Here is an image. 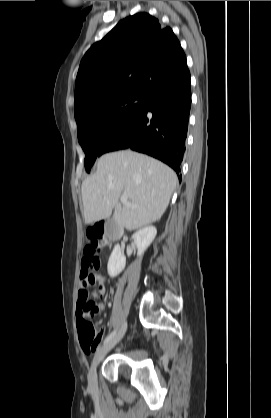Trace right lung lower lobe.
<instances>
[{"mask_svg":"<svg viewBox=\"0 0 271 418\" xmlns=\"http://www.w3.org/2000/svg\"><path fill=\"white\" fill-rule=\"evenodd\" d=\"M190 108V72L185 63L135 114L106 137L98 156L130 148L160 159L178 174L185 152Z\"/></svg>","mask_w":271,"mask_h":418,"instance_id":"right-lung-lower-lobe-1","label":"right lung lower lobe"}]
</instances>
